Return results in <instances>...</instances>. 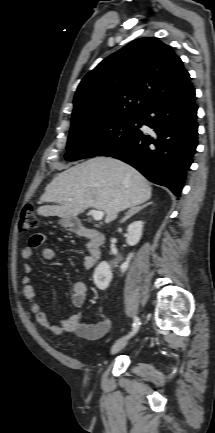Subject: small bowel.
I'll return each instance as SVG.
<instances>
[{
	"instance_id": "obj_1",
	"label": "small bowel",
	"mask_w": 215,
	"mask_h": 433,
	"mask_svg": "<svg viewBox=\"0 0 215 433\" xmlns=\"http://www.w3.org/2000/svg\"><path fill=\"white\" fill-rule=\"evenodd\" d=\"M46 241V236L42 233L34 234L30 237L28 245L21 250V257L25 260L29 259L32 251L40 247ZM42 258L45 261H53L55 259V252L51 248H43L41 251ZM92 261L90 257L85 258V266L91 267ZM25 275L22 278V293L24 298L29 303L30 311L34 314L36 322L54 334L72 333L79 337L88 340H97L102 338L111 327V320L106 318L102 319L96 324H88L84 321L81 313L73 314L59 324L52 323L46 313L41 309L36 301V294L30 274L32 273V266L28 263L23 265ZM87 287L85 282L76 281L72 285V293L70 295V303L75 308H80L86 301Z\"/></svg>"
}]
</instances>
